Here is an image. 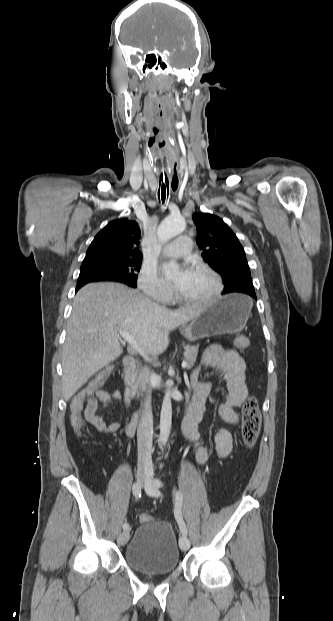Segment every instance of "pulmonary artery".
<instances>
[{
	"mask_svg": "<svg viewBox=\"0 0 333 621\" xmlns=\"http://www.w3.org/2000/svg\"><path fill=\"white\" fill-rule=\"evenodd\" d=\"M192 242L188 236L182 235L163 248V254L168 257H183L191 253Z\"/></svg>",
	"mask_w": 333,
	"mask_h": 621,
	"instance_id": "obj_1",
	"label": "pulmonary artery"
}]
</instances>
